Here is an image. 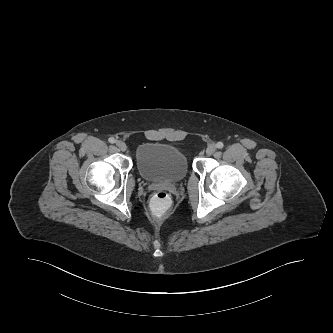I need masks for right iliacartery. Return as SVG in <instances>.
Returning <instances> with one entry per match:
<instances>
[{"mask_svg": "<svg viewBox=\"0 0 333 333\" xmlns=\"http://www.w3.org/2000/svg\"><path fill=\"white\" fill-rule=\"evenodd\" d=\"M110 143H115L116 142V140L113 138V137H111V138H109V140H108Z\"/></svg>", "mask_w": 333, "mask_h": 333, "instance_id": "82829eb1", "label": "right iliac artery"}]
</instances>
